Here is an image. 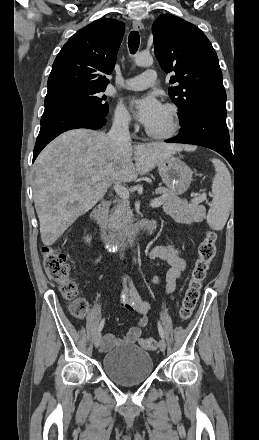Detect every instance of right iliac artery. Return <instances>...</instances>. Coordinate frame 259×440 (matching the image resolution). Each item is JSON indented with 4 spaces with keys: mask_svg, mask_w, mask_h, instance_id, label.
Segmentation results:
<instances>
[{
    "mask_svg": "<svg viewBox=\"0 0 259 440\" xmlns=\"http://www.w3.org/2000/svg\"><path fill=\"white\" fill-rule=\"evenodd\" d=\"M104 323H105V320L102 319L101 322H100V324H99V326H98V333H100L101 330L103 329V327H104Z\"/></svg>",
    "mask_w": 259,
    "mask_h": 440,
    "instance_id": "1",
    "label": "right iliac artery"
}]
</instances>
